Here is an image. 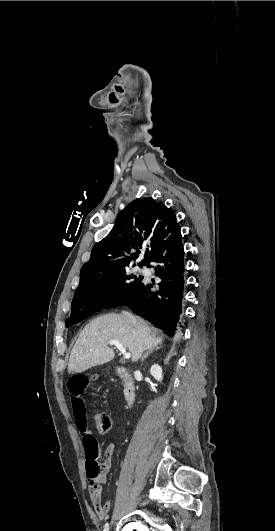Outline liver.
Wrapping results in <instances>:
<instances>
[{
    "label": "liver",
    "instance_id": "1",
    "mask_svg": "<svg viewBox=\"0 0 275 531\" xmlns=\"http://www.w3.org/2000/svg\"><path fill=\"white\" fill-rule=\"evenodd\" d=\"M124 313L126 311L122 315H102L84 327L71 351L68 373H84L91 367L112 361L114 351L108 347L112 339L119 341L131 353L134 363L140 359L143 351L161 345L162 337L151 335L145 321L138 317L137 329Z\"/></svg>",
    "mask_w": 275,
    "mask_h": 531
}]
</instances>
